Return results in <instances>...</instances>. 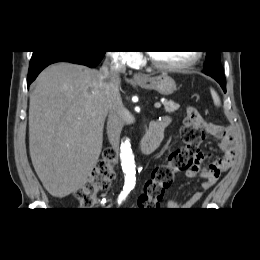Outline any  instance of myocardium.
Wrapping results in <instances>:
<instances>
[{
	"label": "myocardium",
	"instance_id": "myocardium-1",
	"mask_svg": "<svg viewBox=\"0 0 260 260\" xmlns=\"http://www.w3.org/2000/svg\"><path fill=\"white\" fill-rule=\"evenodd\" d=\"M202 57V52L201 51H195V55L193 56L192 59H190L187 62L181 63V64H163L157 61L151 52L147 53V59L150 62V64L160 70L163 71H183L186 69H189L196 65Z\"/></svg>",
	"mask_w": 260,
	"mask_h": 260
}]
</instances>
